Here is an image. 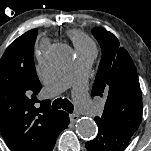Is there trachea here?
<instances>
[{
  "label": "trachea",
  "mask_w": 151,
  "mask_h": 151,
  "mask_svg": "<svg viewBox=\"0 0 151 151\" xmlns=\"http://www.w3.org/2000/svg\"><path fill=\"white\" fill-rule=\"evenodd\" d=\"M52 108L54 109H64L68 113H73L74 107L73 104L67 100V99H62L58 98L52 103Z\"/></svg>",
  "instance_id": "3493384b"
}]
</instances>
